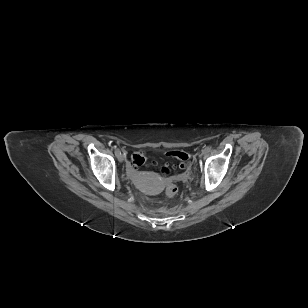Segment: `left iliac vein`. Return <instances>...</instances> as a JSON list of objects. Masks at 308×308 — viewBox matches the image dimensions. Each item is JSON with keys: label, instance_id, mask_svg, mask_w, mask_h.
<instances>
[{"label": "left iliac vein", "instance_id": "1", "mask_svg": "<svg viewBox=\"0 0 308 308\" xmlns=\"http://www.w3.org/2000/svg\"><path fill=\"white\" fill-rule=\"evenodd\" d=\"M207 153V150L203 149L201 155H204Z\"/></svg>", "mask_w": 308, "mask_h": 308}]
</instances>
